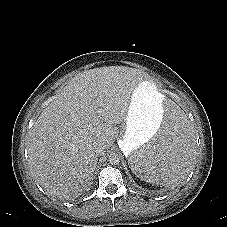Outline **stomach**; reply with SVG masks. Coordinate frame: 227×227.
Segmentation results:
<instances>
[{"instance_id":"stomach-1","label":"stomach","mask_w":227,"mask_h":227,"mask_svg":"<svg viewBox=\"0 0 227 227\" xmlns=\"http://www.w3.org/2000/svg\"><path fill=\"white\" fill-rule=\"evenodd\" d=\"M164 96L151 80H142L134 90L125 120L121 147L127 158L157 134L156 122L163 118Z\"/></svg>"}]
</instances>
